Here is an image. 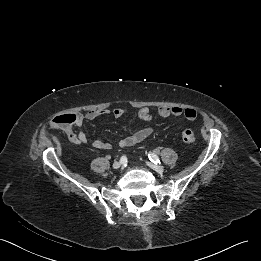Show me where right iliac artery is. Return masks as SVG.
<instances>
[{
	"label": "right iliac artery",
	"instance_id": "obj_1",
	"mask_svg": "<svg viewBox=\"0 0 261 261\" xmlns=\"http://www.w3.org/2000/svg\"><path fill=\"white\" fill-rule=\"evenodd\" d=\"M120 163H121V164L127 163V157H126V156H122V157L120 158Z\"/></svg>",
	"mask_w": 261,
	"mask_h": 261
}]
</instances>
